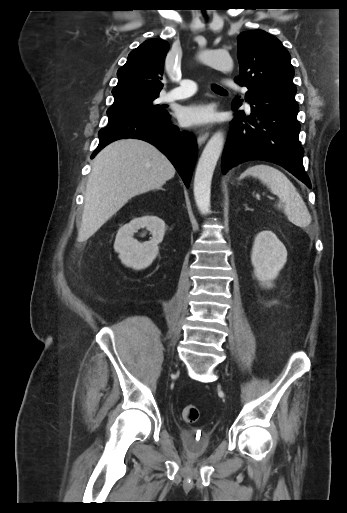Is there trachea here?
<instances>
[{
  "mask_svg": "<svg viewBox=\"0 0 347 513\" xmlns=\"http://www.w3.org/2000/svg\"><path fill=\"white\" fill-rule=\"evenodd\" d=\"M212 90L216 93H226V90L220 87L219 85H212Z\"/></svg>",
  "mask_w": 347,
  "mask_h": 513,
  "instance_id": "1",
  "label": "trachea"
}]
</instances>
